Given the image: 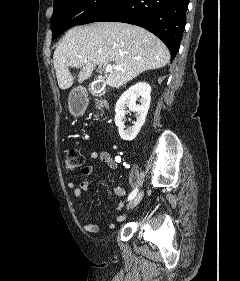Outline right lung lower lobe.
<instances>
[{"mask_svg":"<svg viewBox=\"0 0 240 281\" xmlns=\"http://www.w3.org/2000/svg\"><path fill=\"white\" fill-rule=\"evenodd\" d=\"M188 0H118L94 22L141 26L159 37L174 59L182 39Z\"/></svg>","mask_w":240,"mask_h":281,"instance_id":"98d812e1","label":"right lung lower lobe"}]
</instances>
